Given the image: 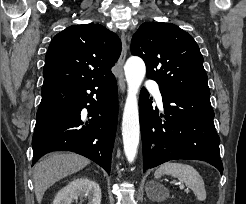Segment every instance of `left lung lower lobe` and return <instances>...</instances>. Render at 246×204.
Segmentation results:
<instances>
[{
    "instance_id": "obj_1",
    "label": "left lung lower lobe",
    "mask_w": 246,
    "mask_h": 204,
    "mask_svg": "<svg viewBox=\"0 0 246 204\" xmlns=\"http://www.w3.org/2000/svg\"><path fill=\"white\" fill-rule=\"evenodd\" d=\"M164 114L152 108L145 88L139 98L143 171L175 159L202 160L220 173V138L213 123L210 91L160 87Z\"/></svg>"
}]
</instances>
